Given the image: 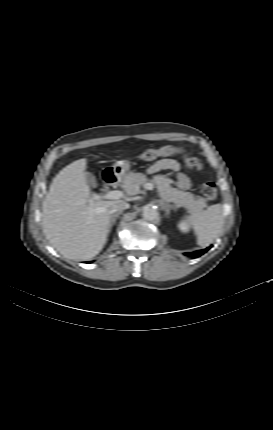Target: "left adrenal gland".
<instances>
[{
  "label": "left adrenal gland",
  "mask_w": 273,
  "mask_h": 430,
  "mask_svg": "<svg viewBox=\"0 0 273 430\" xmlns=\"http://www.w3.org/2000/svg\"><path fill=\"white\" fill-rule=\"evenodd\" d=\"M159 203H160L161 208L165 211L166 217L168 218L169 214H170V210L172 208V205H169L163 201H160Z\"/></svg>",
  "instance_id": "left-adrenal-gland-1"
}]
</instances>
